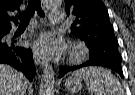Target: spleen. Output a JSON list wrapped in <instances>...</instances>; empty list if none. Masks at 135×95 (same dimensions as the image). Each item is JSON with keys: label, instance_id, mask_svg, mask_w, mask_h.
Returning <instances> with one entry per match:
<instances>
[{"label": "spleen", "instance_id": "obj_1", "mask_svg": "<svg viewBox=\"0 0 135 95\" xmlns=\"http://www.w3.org/2000/svg\"><path fill=\"white\" fill-rule=\"evenodd\" d=\"M73 75L86 82L93 95H124L119 80L108 70L101 67H87L77 70Z\"/></svg>", "mask_w": 135, "mask_h": 95}]
</instances>
